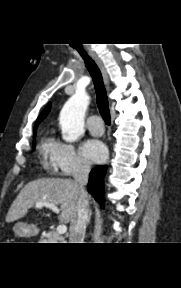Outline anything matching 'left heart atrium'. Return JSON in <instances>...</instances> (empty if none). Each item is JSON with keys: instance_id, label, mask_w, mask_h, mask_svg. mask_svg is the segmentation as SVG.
Listing matches in <instances>:
<instances>
[{"instance_id": "1", "label": "left heart atrium", "mask_w": 181, "mask_h": 288, "mask_svg": "<svg viewBox=\"0 0 181 288\" xmlns=\"http://www.w3.org/2000/svg\"><path fill=\"white\" fill-rule=\"evenodd\" d=\"M83 155L92 162H101L106 157L105 145L96 139L85 141L81 147Z\"/></svg>"}]
</instances>
